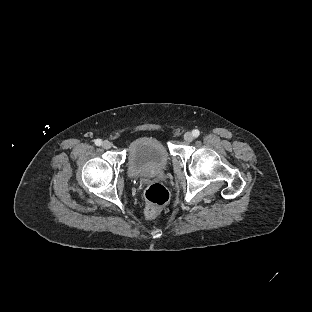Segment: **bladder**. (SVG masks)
I'll return each mask as SVG.
<instances>
[{
    "instance_id": "31cf9c89",
    "label": "bladder",
    "mask_w": 312,
    "mask_h": 312,
    "mask_svg": "<svg viewBox=\"0 0 312 312\" xmlns=\"http://www.w3.org/2000/svg\"><path fill=\"white\" fill-rule=\"evenodd\" d=\"M130 171L139 176L150 170L167 168L170 154L163 143L153 137H142L134 141L127 150Z\"/></svg>"
}]
</instances>
